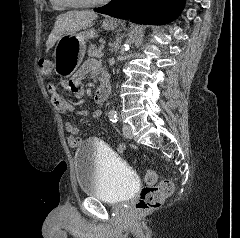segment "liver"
Returning <instances> with one entry per match:
<instances>
[{
  "mask_svg": "<svg viewBox=\"0 0 240 238\" xmlns=\"http://www.w3.org/2000/svg\"><path fill=\"white\" fill-rule=\"evenodd\" d=\"M96 18L97 14L92 11H68L59 15L46 41L47 51L54 46L61 36L90 27Z\"/></svg>",
  "mask_w": 240,
  "mask_h": 238,
  "instance_id": "1",
  "label": "liver"
}]
</instances>
